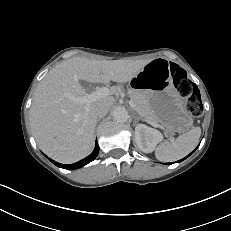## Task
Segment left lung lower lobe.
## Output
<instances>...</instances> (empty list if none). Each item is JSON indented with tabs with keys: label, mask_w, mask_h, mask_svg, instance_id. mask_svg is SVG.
Wrapping results in <instances>:
<instances>
[{
	"label": "left lung lower lobe",
	"mask_w": 231,
	"mask_h": 231,
	"mask_svg": "<svg viewBox=\"0 0 231 231\" xmlns=\"http://www.w3.org/2000/svg\"><path fill=\"white\" fill-rule=\"evenodd\" d=\"M193 152H194V151H193ZM193 152H192V153H193ZM192 153H190L189 155H191ZM189 155H188V156H189ZM188 156H187V157H188ZM187 157H185V158H187ZM185 158H184V159H185ZM184 159H182V160H184ZM182 160H180V161H182ZM180 161H178V162H180ZM166 164H171V163H166Z\"/></svg>",
	"instance_id": "1"
}]
</instances>
